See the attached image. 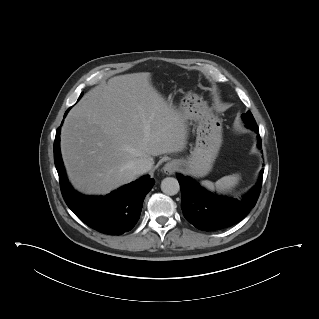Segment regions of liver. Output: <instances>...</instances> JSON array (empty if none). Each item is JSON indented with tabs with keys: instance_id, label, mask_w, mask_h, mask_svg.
<instances>
[{
	"instance_id": "obj_1",
	"label": "liver",
	"mask_w": 319,
	"mask_h": 319,
	"mask_svg": "<svg viewBox=\"0 0 319 319\" xmlns=\"http://www.w3.org/2000/svg\"><path fill=\"white\" fill-rule=\"evenodd\" d=\"M151 84V73L112 77L90 90L68 113L61 153L72 185L105 195L134 181L137 159L185 148L187 124Z\"/></svg>"
}]
</instances>
